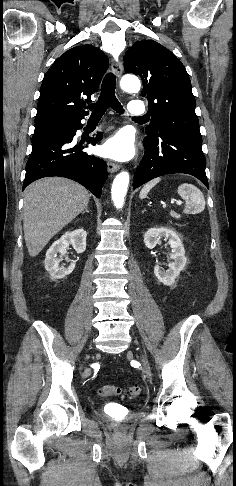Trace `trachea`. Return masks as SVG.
Listing matches in <instances>:
<instances>
[{
  "label": "trachea",
  "instance_id": "trachea-1",
  "mask_svg": "<svg viewBox=\"0 0 236 486\" xmlns=\"http://www.w3.org/2000/svg\"><path fill=\"white\" fill-rule=\"evenodd\" d=\"M116 76L113 73H108L103 79L101 86V93L96 103L89 105V109L92 111L91 119H101L106 110L111 107L119 114L124 113V109L119 103L115 95ZM134 119H143V117H137Z\"/></svg>",
  "mask_w": 236,
  "mask_h": 486
}]
</instances>
